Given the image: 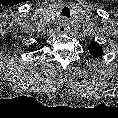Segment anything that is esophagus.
Returning a JSON list of instances; mask_svg holds the SVG:
<instances>
[{
  "label": "esophagus",
  "mask_w": 118,
  "mask_h": 118,
  "mask_svg": "<svg viewBox=\"0 0 118 118\" xmlns=\"http://www.w3.org/2000/svg\"><path fill=\"white\" fill-rule=\"evenodd\" d=\"M68 24L66 22L65 19H62L59 21L58 23V26H57V30L60 32V33H65L68 31Z\"/></svg>",
  "instance_id": "obj_1"
}]
</instances>
